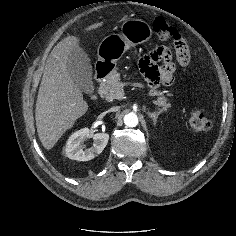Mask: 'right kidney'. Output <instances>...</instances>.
Instances as JSON below:
<instances>
[{"label": "right kidney", "instance_id": "right-kidney-1", "mask_svg": "<svg viewBox=\"0 0 236 236\" xmlns=\"http://www.w3.org/2000/svg\"><path fill=\"white\" fill-rule=\"evenodd\" d=\"M87 138L93 139V145L89 148L82 145ZM108 140L107 133L93 134L88 128H83L70 136L66 143L65 154L72 160L89 161L104 150Z\"/></svg>", "mask_w": 236, "mask_h": 236}]
</instances>
